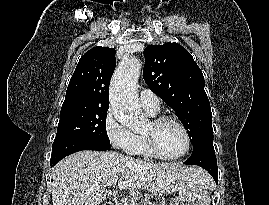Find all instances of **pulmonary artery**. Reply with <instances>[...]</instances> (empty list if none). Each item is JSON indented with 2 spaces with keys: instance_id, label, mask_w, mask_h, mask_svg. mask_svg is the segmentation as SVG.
I'll list each match as a JSON object with an SVG mask.
<instances>
[{
  "instance_id": "obj_1",
  "label": "pulmonary artery",
  "mask_w": 269,
  "mask_h": 205,
  "mask_svg": "<svg viewBox=\"0 0 269 205\" xmlns=\"http://www.w3.org/2000/svg\"><path fill=\"white\" fill-rule=\"evenodd\" d=\"M140 101L142 107L148 112L157 113L160 109L158 96L148 89L141 90Z\"/></svg>"
}]
</instances>
